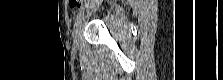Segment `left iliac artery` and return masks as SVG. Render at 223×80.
<instances>
[{
	"label": "left iliac artery",
	"mask_w": 223,
	"mask_h": 80,
	"mask_svg": "<svg viewBox=\"0 0 223 80\" xmlns=\"http://www.w3.org/2000/svg\"><path fill=\"white\" fill-rule=\"evenodd\" d=\"M83 14H84V7H82V8L79 10L78 14L76 15V19H75V20H76V23L79 22V21L81 20Z\"/></svg>",
	"instance_id": "44dca946"
}]
</instances>
